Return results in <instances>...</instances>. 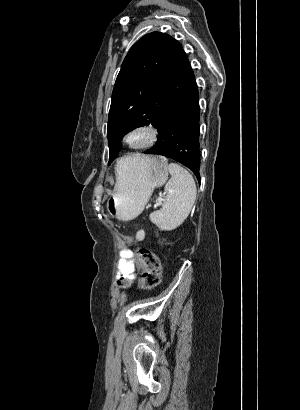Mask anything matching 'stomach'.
Returning a JSON list of instances; mask_svg holds the SVG:
<instances>
[{
  "mask_svg": "<svg viewBox=\"0 0 300 410\" xmlns=\"http://www.w3.org/2000/svg\"><path fill=\"white\" fill-rule=\"evenodd\" d=\"M147 157L136 164L127 161L128 168L118 175L115 190L106 205L111 216L123 221L136 218L144 210L153 190L165 184L168 179L167 159Z\"/></svg>",
  "mask_w": 300,
  "mask_h": 410,
  "instance_id": "stomach-1",
  "label": "stomach"
}]
</instances>
